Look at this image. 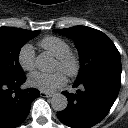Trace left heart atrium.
<instances>
[{
	"mask_svg": "<svg viewBox=\"0 0 128 128\" xmlns=\"http://www.w3.org/2000/svg\"><path fill=\"white\" fill-rule=\"evenodd\" d=\"M66 83V76L62 71L54 73L35 72L29 76V84L44 92H51Z\"/></svg>",
	"mask_w": 128,
	"mask_h": 128,
	"instance_id": "obj_1",
	"label": "left heart atrium"
}]
</instances>
